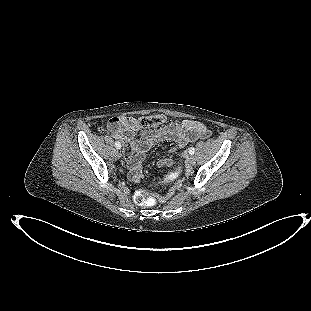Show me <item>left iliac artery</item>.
<instances>
[{
  "label": "left iliac artery",
  "mask_w": 311,
  "mask_h": 311,
  "mask_svg": "<svg viewBox=\"0 0 311 311\" xmlns=\"http://www.w3.org/2000/svg\"><path fill=\"white\" fill-rule=\"evenodd\" d=\"M195 153V148L194 147H191L189 149V154L193 155Z\"/></svg>",
  "instance_id": "44dca946"
}]
</instances>
